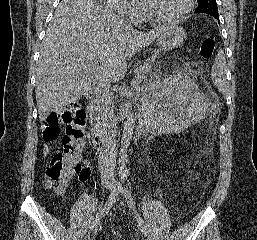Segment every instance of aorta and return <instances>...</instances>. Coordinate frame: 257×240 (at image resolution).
I'll list each match as a JSON object with an SVG mask.
<instances>
[{"label":"aorta","instance_id":"762f6f07","mask_svg":"<svg viewBox=\"0 0 257 240\" xmlns=\"http://www.w3.org/2000/svg\"><path fill=\"white\" fill-rule=\"evenodd\" d=\"M135 127V118L133 115H129L126 119L124 130L121 139V150L119 156V165L123 167L127 160V148L130 145V141L133 136Z\"/></svg>","mask_w":257,"mask_h":240}]
</instances>
